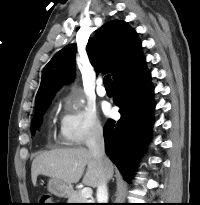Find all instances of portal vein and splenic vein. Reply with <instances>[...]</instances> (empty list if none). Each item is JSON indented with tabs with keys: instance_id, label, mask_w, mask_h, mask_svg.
I'll return each mask as SVG.
<instances>
[{
	"instance_id": "1",
	"label": "portal vein and splenic vein",
	"mask_w": 200,
	"mask_h": 205,
	"mask_svg": "<svg viewBox=\"0 0 200 205\" xmlns=\"http://www.w3.org/2000/svg\"><path fill=\"white\" fill-rule=\"evenodd\" d=\"M92 193H93V191H92V189L90 187H85V188H83L81 190V196L83 198H86V199L91 198L92 197Z\"/></svg>"
}]
</instances>
